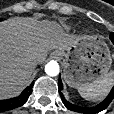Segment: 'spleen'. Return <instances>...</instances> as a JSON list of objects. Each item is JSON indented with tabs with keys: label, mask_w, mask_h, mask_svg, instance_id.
I'll return each instance as SVG.
<instances>
[{
	"label": "spleen",
	"mask_w": 114,
	"mask_h": 114,
	"mask_svg": "<svg viewBox=\"0 0 114 114\" xmlns=\"http://www.w3.org/2000/svg\"><path fill=\"white\" fill-rule=\"evenodd\" d=\"M114 85V72H109L105 77L93 83H87L78 88V92L86 100L101 101Z\"/></svg>",
	"instance_id": "spleen-1"
}]
</instances>
